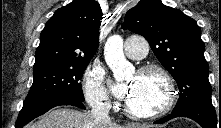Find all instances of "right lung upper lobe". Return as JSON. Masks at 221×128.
<instances>
[{
	"label": "right lung upper lobe",
	"instance_id": "right-lung-upper-lobe-1",
	"mask_svg": "<svg viewBox=\"0 0 221 128\" xmlns=\"http://www.w3.org/2000/svg\"><path fill=\"white\" fill-rule=\"evenodd\" d=\"M102 15L96 0H74L56 10L41 32L33 70L91 60L98 48Z\"/></svg>",
	"mask_w": 221,
	"mask_h": 128
}]
</instances>
